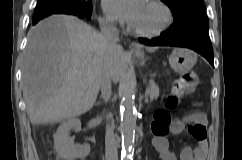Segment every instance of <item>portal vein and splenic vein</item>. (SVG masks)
<instances>
[{"instance_id": "18ae733b", "label": "portal vein and splenic vein", "mask_w": 242, "mask_h": 160, "mask_svg": "<svg viewBox=\"0 0 242 160\" xmlns=\"http://www.w3.org/2000/svg\"><path fill=\"white\" fill-rule=\"evenodd\" d=\"M145 96H146V97L148 96V93H147V91L145 92ZM146 101H147V99H146Z\"/></svg>"}]
</instances>
